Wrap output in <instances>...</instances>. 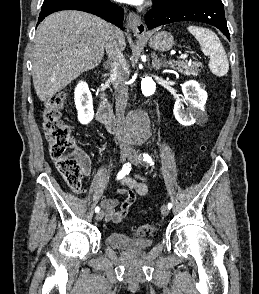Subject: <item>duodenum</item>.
Here are the masks:
<instances>
[{
	"label": "duodenum",
	"mask_w": 259,
	"mask_h": 294,
	"mask_svg": "<svg viewBox=\"0 0 259 294\" xmlns=\"http://www.w3.org/2000/svg\"><path fill=\"white\" fill-rule=\"evenodd\" d=\"M96 117L108 131L114 132L118 128V122L112 112L111 106L104 92L98 94Z\"/></svg>",
	"instance_id": "obj_1"
}]
</instances>
